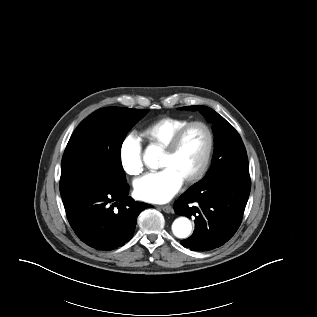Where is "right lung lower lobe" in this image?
Returning <instances> with one entry per match:
<instances>
[{"instance_id": "obj_1", "label": "right lung lower lobe", "mask_w": 317, "mask_h": 317, "mask_svg": "<svg viewBox=\"0 0 317 317\" xmlns=\"http://www.w3.org/2000/svg\"><path fill=\"white\" fill-rule=\"evenodd\" d=\"M128 192L126 180L103 176L63 198L68 221L81 241L112 250L132 238L138 215L150 205L135 202Z\"/></svg>"}]
</instances>
